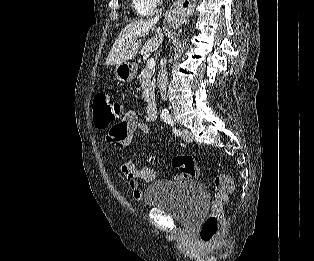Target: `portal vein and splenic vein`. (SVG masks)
<instances>
[{"label": "portal vein and splenic vein", "instance_id": "1", "mask_svg": "<svg viewBox=\"0 0 314 261\" xmlns=\"http://www.w3.org/2000/svg\"><path fill=\"white\" fill-rule=\"evenodd\" d=\"M156 65V62H155V59L154 58H150L147 60V63H146V67L149 68V69H153Z\"/></svg>", "mask_w": 314, "mask_h": 261}]
</instances>
